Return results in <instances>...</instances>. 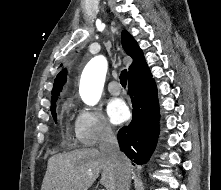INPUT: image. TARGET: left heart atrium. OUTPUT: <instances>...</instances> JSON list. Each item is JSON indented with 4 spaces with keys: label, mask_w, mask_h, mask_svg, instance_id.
Listing matches in <instances>:
<instances>
[{
    "label": "left heart atrium",
    "mask_w": 221,
    "mask_h": 190,
    "mask_svg": "<svg viewBox=\"0 0 221 190\" xmlns=\"http://www.w3.org/2000/svg\"><path fill=\"white\" fill-rule=\"evenodd\" d=\"M107 115L113 124H121L129 118V109L122 99H112L107 105Z\"/></svg>",
    "instance_id": "39dd6f15"
}]
</instances>
